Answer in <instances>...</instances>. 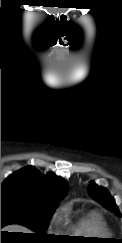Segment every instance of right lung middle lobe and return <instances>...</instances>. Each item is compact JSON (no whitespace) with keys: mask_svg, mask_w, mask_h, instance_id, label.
Instances as JSON below:
<instances>
[{"mask_svg":"<svg viewBox=\"0 0 122 243\" xmlns=\"http://www.w3.org/2000/svg\"><path fill=\"white\" fill-rule=\"evenodd\" d=\"M56 206H44L18 198H1V228L12 223L35 231L39 238H49L44 231L55 212Z\"/></svg>","mask_w":122,"mask_h":243,"instance_id":"dd1d6c3e","label":"right lung middle lobe"}]
</instances>
